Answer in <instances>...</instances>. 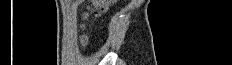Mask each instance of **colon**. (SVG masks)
I'll list each match as a JSON object with an SVG mask.
<instances>
[{"instance_id":"obj_1","label":"colon","mask_w":232,"mask_h":65,"mask_svg":"<svg viewBox=\"0 0 232 65\" xmlns=\"http://www.w3.org/2000/svg\"><path fill=\"white\" fill-rule=\"evenodd\" d=\"M114 2L113 0H93L91 2V11L95 15H99L102 12H105L107 10V7L110 3Z\"/></svg>"}]
</instances>
